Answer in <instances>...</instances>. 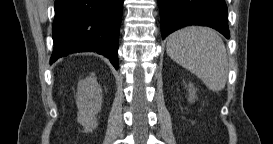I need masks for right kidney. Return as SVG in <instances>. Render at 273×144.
Instances as JSON below:
<instances>
[{"instance_id": "1", "label": "right kidney", "mask_w": 273, "mask_h": 144, "mask_svg": "<svg viewBox=\"0 0 273 144\" xmlns=\"http://www.w3.org/2000/svg\"><path fill=\"white\" fill-rule=\"evenodd\" d=\"M100 87L94 77H87L78 83L77 90V121L80 123L86 132L93 131L97 127L96 115L98 110L93 107L89 101L93 94H99Z\"/></svg>"}]
</instances>
